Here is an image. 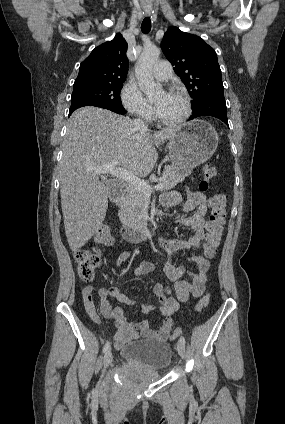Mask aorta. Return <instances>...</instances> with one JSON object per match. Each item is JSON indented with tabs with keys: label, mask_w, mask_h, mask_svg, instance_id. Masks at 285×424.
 I'll list each match as a JSON object with an SVG mask.
<instances>
[{
	"label": "aorta",
	"mask_w": 285,
	"mask_h": 424,
	"mask_svg": "<svg viewBox=\"0 0 285 424\" xmlns=\"http://www.w3.org/2000/svg\"><path fill=\"white\" fill-rule=\"evenodd\" d=\"M160 53V49L155 46L145 48L135 68L139 87L148 97L159 94L162 91V86L154 81L152 74L153 66L158 61Z\"/></svg>",
	"instance_id": "1"
}]
</instances>
